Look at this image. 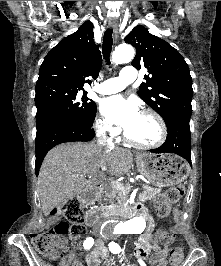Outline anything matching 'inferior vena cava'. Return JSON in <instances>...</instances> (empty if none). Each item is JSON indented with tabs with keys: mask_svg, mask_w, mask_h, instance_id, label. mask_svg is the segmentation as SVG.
<instances>
[{
	"mask_svg": "<svg viewBox=\"0 0 221 266\" xmlns=\"http://www.w3.org/2000/svg\"><path fill=\"white\" fill-rule=\"evenodd\" d=\"M98 143L100 145H106L108 146L109 149L112 148L113 144H112V140L111 139H106L105 137V132L103 130H100L98 132Z\"/></svg>",
	"mask_w": 221,
	"mask_h": 266,
	"instance_id": "inferior-vena-cava-1",
	"label": "inferior vena cava"
}]
</instances>
